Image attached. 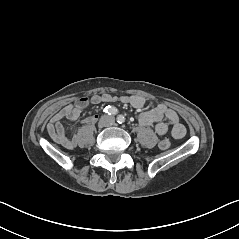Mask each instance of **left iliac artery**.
Masks as SVG:
<instances>
[{"label":"left iliac artery","instance_id":"obj_1","mask_svg":"<svg viewBox=\"0 0 239 239\" xmlns=\"http://www.w3.org/2000/svg\"><path fill=\"white\" fill-rule=\"evenodd\" d=\"M124 121H125V118H124L123 115H119V116L117 117V122H118V123L122 124V123H124Z\"/></svg>","mask_w":239,"mask_h":239}]
</instances>
